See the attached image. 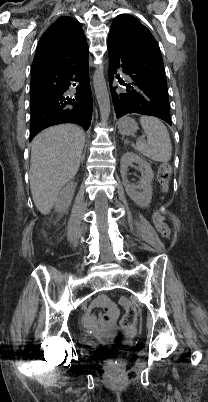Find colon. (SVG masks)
Instances as JSON below:
<instances>
[{
	"label": "colon",
	"instance_id": "obj_1",
	"mask_svg": "<svg viewBox=\"0 0 208 402\" xmlns=\"http://www.w3.org/2000/svg\"><path fill=\"white\" fill-rule=\"evenodd\" d=\"M173 168L172 165L168 162L162 163L159 166L158 170V181L161 186V191L164 195H166L170 190V182L172 177ZM153 222L161 235L162 238L169 240L171 238V227L165 221V218L160 210H156L152 214ZM119 304L123 311L122 313V326L123 327H135L136 320L135 316L137 314V309L135 307L134 301L130 297H121L119 299ZM115 331L119 330L118 326L114 327ZM120 335L115 337V341L120 340Z\"/></svg>",
	"mask_w": 208,
	"mask_h": 402
}]
</instances>
